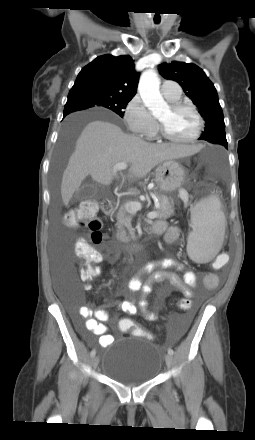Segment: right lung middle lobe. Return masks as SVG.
<instances>
[{"label":"right lung middle lobe","instance_id":"1","mask_svg":"<svg viewBox=\"0 0 255 440\" xmlns=\"http://www.w3.org/2000/svg\"><path fill=\"white\" fill-rule=\"evenodd\" d=\"M131 99V97L116 96L98 91L69 93L64 114L100 106L110 109L123 117V109L126 108Z\"/></svg>","mask_w":255,"mask_h":440}]
</instances>
